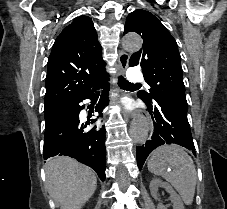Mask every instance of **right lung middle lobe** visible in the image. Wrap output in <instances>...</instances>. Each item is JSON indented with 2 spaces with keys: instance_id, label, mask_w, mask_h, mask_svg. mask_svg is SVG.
I'll list each match as a JSON object with an SVG mask.
<instances>
[{
  "instance_id": "1",
  "label": "right lung middle lobe",
  "mask_w": 227,
  "mask_h": 209,
  "mask_svg": "<svg viewBox=\"0 0 227 209\" xmlns=\"http://www.w3.org/2000/svg\"><path fill=\"white\" fill-rule=\"evenodd\" d=\"M65 104L61 105H54L51 107H47L44 109V115H45V122L46 125L50 124L54 118H56L64 109Z\"/></svg>"
}]
</instances>
